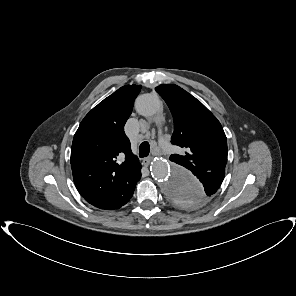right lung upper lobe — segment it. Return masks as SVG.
Segmentation results:
<instances>
[{
	"mask_svg": "<svg viewBox=\"0 0 296 296\" xmlns=\"http://www.w3.org/2000/svg\"><path fill=\"white\" fill-rule=\"evenodd\" d=\"M140 85H126L94 107L82 120L71 148L74 183L83 198L105 210L132 197L141 164L124 133Z\"/></svg>",
	"mask_w": 296,
	"mask_h": 296,
	"instance_id": "obj_1",
	"label": "right lung upper lobe"
}]
</instances>
